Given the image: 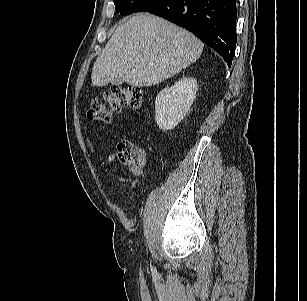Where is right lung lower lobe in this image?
<instances>
[{
  "mask_svg": "<svg viewBox=\"0 0 307 301\" xmlns=\"http://www.w3.org/2000/svg\"><path fill=\"white\" fill-rule=\"evenodd\" d=\"M142 11L188 29L231 66L236 47V0H157Z\"/></svg>",
  "mask_w": 307,
  "mask_h": 301,
  "instance_id": "98d812e1",
  "label": "right lung lower lobe"
}]
</instances>
